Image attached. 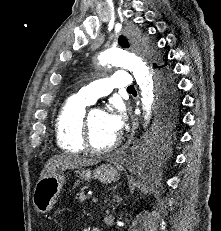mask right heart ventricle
<instances>
[{
	"instance_id": "obj_1",
	"label": "right heart ventricle",
	"mask_w": 221,
	"mask_h": 231,
	"mask_svg": "<svg viewBox=\"0 0 221 231\" xmlns=\"http://www.w3.org/2000/svg\"><path fill=\"white\" fill-rule=\"evenodd\" d=\"M88 102L77 96L69 97L60 108L55 121L58 147L69 153L85 150L82 142V120Z\"/></svg>"
}]
</instances>
